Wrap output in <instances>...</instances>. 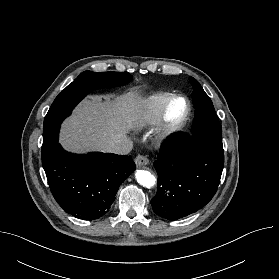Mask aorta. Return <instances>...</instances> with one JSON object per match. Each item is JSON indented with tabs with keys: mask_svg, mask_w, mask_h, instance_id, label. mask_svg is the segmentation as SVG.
<instances>
[{
	"mask_svg": "<svg viewBox=\"0 0 279 279\" xmlns=\"http://www.w3.org/2000/svg\"><path fill=\"white\" fill-rule=\"evenodd\" d=\"M135 176L137 182L146 188H151L155 185L156 179L149 171L137 170Z\"/></svg>",
	"mask_w": 279,
	"mask_h": 279,
	"instance_id": "762f6f07",
	"label": "aorta"
}]
</instances>
